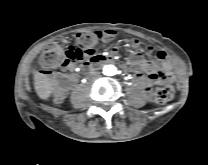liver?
<instances>
[{
	"label": "liver",
	"instance_id": "liver-1",
	"mask_svg": "<svg viewBox=\"0 0 208 165\" xmlns=\"http://www.w3.org/2000/svg\"><path fill=\"white\" fill-rule=\"evenodd\" d=\"M34 88L37 95L43 100H47L50 97L53 89L49 79L39 72L34 76Z\"/></svg>",
	"mask_w": 208,
	"mask_h": 165
}]
</instances>
